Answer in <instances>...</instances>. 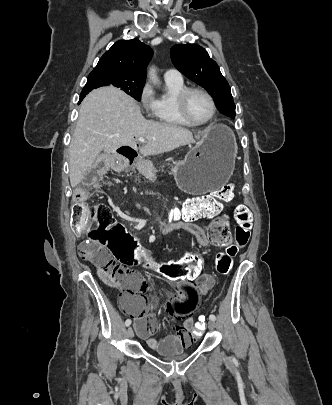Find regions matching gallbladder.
I'll list each match as a JSON object with an SVG mask.
<instances>
[{
    "mask_svg": "<svg viewBox=\"0 0 332 405\" xmlns=\"http://www.w3.org/2000/svg\"><path fill=\"white\" fill-rule=\"evenodd\" d=\"M107 156H108L107 154H101V155L97 158V161H96V162H99L100 160H105Z\"/></svg>",
    "mask_w": 332,
    "mask_h": 405,
    "instance_id": "1",
    "label": "gallbladder"
}]
</instances>
